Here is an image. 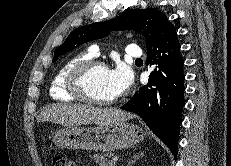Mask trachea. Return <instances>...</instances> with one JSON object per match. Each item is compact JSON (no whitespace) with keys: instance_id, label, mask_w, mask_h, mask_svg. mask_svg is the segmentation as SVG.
<instances>
[{"instance_id":"trachea-1","label":"trachea","mask_w":231,"mask_h":166,"mask_svg":"<svg viewBox=\"0 0 231 166\" xmlns=\"http://www.w3.org/2000/svg\"><path fill=\"white\" fill-rule=\"evenodd\" d=\"M136 61H142V59H141V58H138V59H136Z\"/></svg>"}]
</instances>
